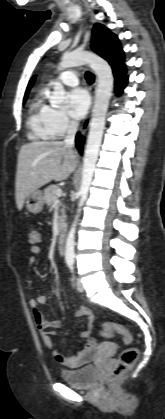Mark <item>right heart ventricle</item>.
I'll return each instance as SVG.
<instances>
[{
  "mask_svg": "<svg viewBox=\"0 0 165 419\" xmlns=\"http://www.w3.org/2000/svg\"><path fill=\"white\" fill-rule=\"evenodd\" d=\"M52 108L45 101V92L39 90L33 96L27 117L29 137L33 140H51L56 137L51 124Z\"/></svg>",
  "mask_w": 165,
  "mask_h": 419,
  "instance_id": "obj_1",
  "label": "right heart ventricle"
}]
</instances>
